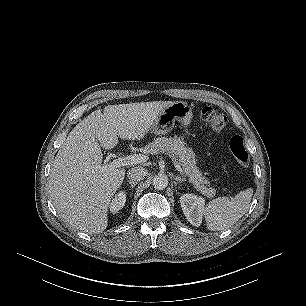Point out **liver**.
<instances>
[{"label": "liver", "instance_id": "liver-1", "mask_svg": "<svg viewBox=\"0 0 306 306\" xmlns=\"http://www.w3.org/2000/svg\"><path fill=\"white\" fill-rule=\"evenodd\" d=\"M172 101L109 105L78 123L59 149L49 175L52 203L71 227L88 234L107 228L110 202L125 177L124 168L102 165V151L118 137L143 139Z\"/></svg>", "mask_w": 306, "mask_h": 306}]
</instances>
